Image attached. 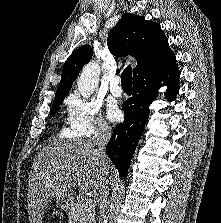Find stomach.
I'll return each instance as SVG.
<instances>
[{"label":"stomach","mask_w":221,"mask_h":223,"mask_svg":"<svg viewBox=\"0 0 221 223\" xmlns=\"http://www.w3.org/2000/svg\"><path fill=\"white\" fill-rule=\"evenodd\" d=\"M74 197L70 192H65L56 197L58 206L63 210H69L73 205Z\"/></svg>","instance_id":"1"}]
</instances>
